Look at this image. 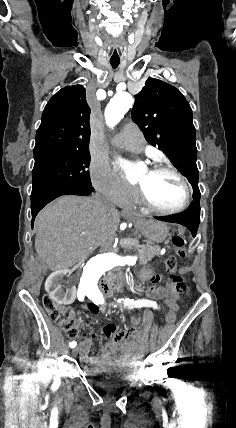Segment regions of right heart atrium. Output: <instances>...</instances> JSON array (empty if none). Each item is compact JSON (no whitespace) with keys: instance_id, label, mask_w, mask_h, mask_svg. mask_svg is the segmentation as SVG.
<instances>
[{"instance_id":"obj_1","label":"right heart atrium","mask_w":236,"mask_h":428,"mask_svg":"<svg viewBox=\"0 0 236 428\" xmlns=\"http://www.w3.org/2000/svg\"><path fill=\"white\" fill-rule=\"evenodd\" d=\"M90 181L103 200L112 201V206H124L135 196V190L118 178L107 162H92Z\"/></svg>"}]
</instances>
